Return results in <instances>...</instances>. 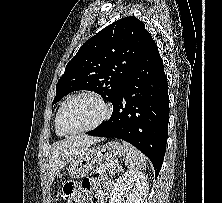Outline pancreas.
Listing matches in <instances>:
<instances>
[{"label":"pancreas","mask_w":222,"mask_h":203,"mask_svg":"<svg viewBox=\"0 0 222 203\" xmlns=\"http://www.w3.org/2000/svg\"><path fill=\"white\" fill-rule=\"evenodd\" d=\"M117 167H118V162L116 160H109L101 164L95 170V172L100 174L101 176L107 177V175L109 174V176L112 177L116 173Z\"/></svg>","instance_id":"cf45deb5"}]
</instances>
